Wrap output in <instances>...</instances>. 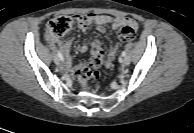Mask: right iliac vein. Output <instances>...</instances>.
Instances as JSON below:
<instances>
[{"label": "right iliac vein", "mask_w": 194, "mask_h": 133, "mask_svg": "<svg viewBox=\"0 0 194 133\" xmlns=\"http://www.w3.org/2000/svg\"><path fill=\"white\" fill-rule=\"evenodd\" d=\"M54 62H55L56 64H60V63H61V59H60L57 55H55V56H54Z\"/></svg>", "instance_id": "obj_1"}]
</instances>
